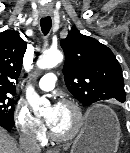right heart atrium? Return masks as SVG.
I'll return each instance as SVG.
<instances>
[{"label": "right heart atrium", "mask_w": 130, "mask_h": 153, "mask_svg": "<svg viewBox=\"0 0 130 153\" xmlns=\"http://www.w3.org/2000/svg\"><path fill=\"white\" fill-rule=\"evenodd\" d=\"M14 124L19 134L27 139L43 141L45 136V125L32 115L27 106L18 104L13 114Z\"/></svg>", "instance_id": "obj_1"}]
</instances>
